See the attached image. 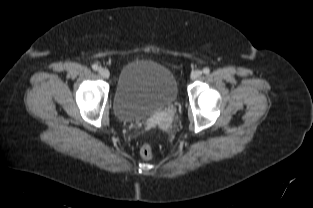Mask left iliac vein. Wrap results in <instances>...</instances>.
<instances>
[{
  "instance_id": "4c4485c4",
  "label": "left iliac vein",
  "mask_w": 313,
  "mask_h": 208,
  "mask_svg": "<svg viewBox=\"0 0 313 208\" xmlns=\"http://www.w3.org/2000/svg\"><path fill=\"white\" fill-rule=\"evenodd\" d=\"M202 76V71L201 70H195L191 73V79L195 80L198 79Z\"/></svg>"
}]
</instances>
